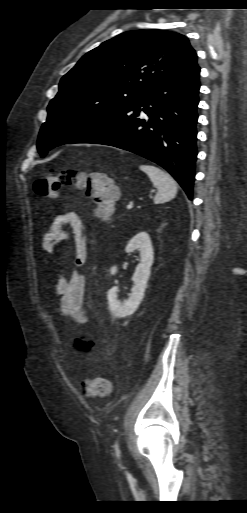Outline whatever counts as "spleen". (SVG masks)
Wrapping results in <instances>:
<instances>
[{"label":"spleen","instance_id":"obj_1","mask_svg":"<svg viewBox=\"0 0 247 513\" xmlns=\"http://www.w3.org/2000/svg\"><path fill=\"white\" fill-rule=\"evenodd\" d=\"M140 170L145 172L158 192L154 197L155 204H161L172 200L177 194V184L175 180L160 168L155 166L140 165Z\"/></svg>","mask_w":247,"mask_h":513}]
</instances>
